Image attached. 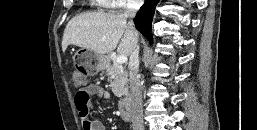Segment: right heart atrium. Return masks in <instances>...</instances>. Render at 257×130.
I'll return each mask as SVG.
<instances>
[{
	"mask_svg": "<svg viewBox=\"0 0 257 130\" xmlns=\"http://www.w3.org/2000/svg\"><path fill=\"white\" fill-rule=\"evenodd\" d=\"M103 6L107 8H129L139 5L142 0H103Z\"/></svg>",
	"mask_w": 257,
	"mask_h": 130,
	"instance_id": "obj_1",
	"label": "right heart atrium"
}]
</instances>
